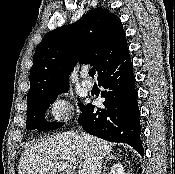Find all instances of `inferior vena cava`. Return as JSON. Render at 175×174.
<instances>
[{"label":"inferior vena cava","mask_w":175,"mask_h":174,"mask_svg":"<svg viewBox=\"0 0 175 174\" xmlns=\"http://www.w3.org/2000/svg\"><path fill=\"white\" fill-rule=\"evenodd\" d=\"M85 139H88V136L83 134ZM102 157L96 155L93 157L92 165L89 174H101V167H102Z\"/></svg>","instance_id":"602c4592"}]
</instances>
